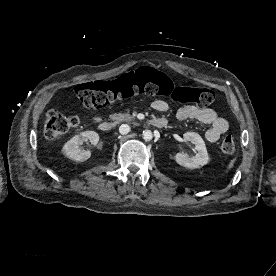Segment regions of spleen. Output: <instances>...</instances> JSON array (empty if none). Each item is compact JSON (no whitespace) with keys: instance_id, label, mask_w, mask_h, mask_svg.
<instances>
[{"instance_id":"obj_1","label":"spleen","mask_w":276,"mask_h":276,"mask_svg":"<svg viewBox=\"0 0 276 276\" xmlns=\"http://www.w3.org/2000/svg\"><path fill=\"white\" fill-rule=\"evenodd\" d=\"M234 162H235V160L233 159V160H231L230 162H229V164H228V166H227V168H226V170H225V173H228L229 172V170H231L232 169V167L234 166Z\"/></svg>"}]
</instances>
